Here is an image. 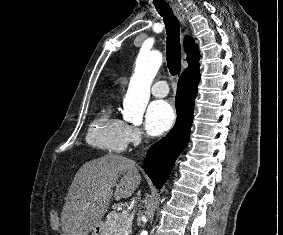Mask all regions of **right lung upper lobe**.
<instances>
[{
	"instance_id": "1",
	"label": "right lung upper lobe",
	"mask_w": 283,
	"mask_h": 235,
	"mask_svg": "<svg viewBox=\"0 0 283 235\" xmlns=\"http://www.w3.org/2000/svg\"><path fill=\"white\" fill-rule=\"evenodd\" d=\"M184 48L187 52V61L189 63V67L185 69L182 75H192L194 73L199 72V50L194 43V40L190 37H186L184 41Z\"/></svg>"
}]
</instances>
